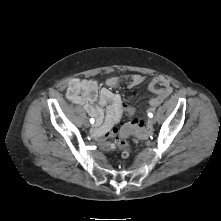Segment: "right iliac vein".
I'll return each mask as SVG.
<instances>
[{
    "label": "right iliac vein",
    "mask_w": 221,
    "mask_h": 221,
    "mask_svg": "<svg viewBox=\"0 0 221 221\" xmlns=\"http://www.w3.org/2000/svg\"><path fill=\"white\" fill-rule=\"evenodd\" d=\"M84 126H85L86 128H89V127H90V123H89L88 120H85V122H84Z\"/></svg>",
    "instance_id": "1"
}]
</instances>
